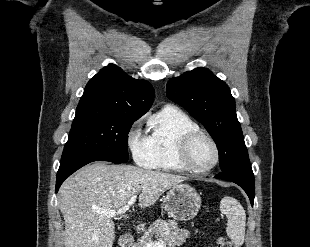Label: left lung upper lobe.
<instances>
[{
    "mask_svg": "<svg viewBox=\"0 0 310 247\" xmlns=\"http://www.w3.org/2000/svg\"><path fill=\"white\" fill-rule=\"evenodd\" d=\"M166 95L206 127L217 145L221 171L249 164L235 100L224 81L200 67L169 80Z\"/></svg>",
    "mask_w": 310,
    "mask_h": 247,
    "instance_id": "1",
    "label": "left lung upper lobe"
}]
</instances>
